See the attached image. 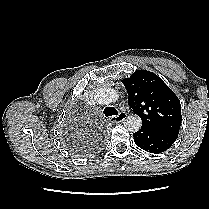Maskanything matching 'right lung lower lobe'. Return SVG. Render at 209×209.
Segmentation results:
<instances>
[{
	"label": "right lung lower lobe",
	"instance_id": "right-lung-lower-lobe-1",
	"mask_svg": "<svg viewBox=\"0 0 209 209\" xmlns=\"http://www.w3.org/2000/svg\"><path fill=\"white\" fill-rule=\"evenodd\" d=\"M101 141L97 140H88L83 142H73L71 143V148L74 152L78 153L79 155H88L94 152L99 146Z\"/></svg>",
	"mask_w": 209,
	"mask_h": 209
}]
</instances>
